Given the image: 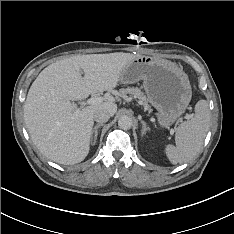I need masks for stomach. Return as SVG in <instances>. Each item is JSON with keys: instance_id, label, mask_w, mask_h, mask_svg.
I'll list each match as a JSON object with an SVG mask.
<instances>
[{"instance_id": "stomach-1", "label": "stomach", "mask_w": 234, "mask_h": 234, "mask_svg": "<svg viewBox=\"0 0 234 234\" xmlns=\"http://www.w3.org/2000/svg\"><path fill=\"white\" fill-rule=\"evenodd\" d=\"M143 80L149 103L158 111L157 119L168 128L186 110L192 97L187 74L174 62L138 56L121 71L119 82L132 84Z\"/></svg>"}]
</instances>
